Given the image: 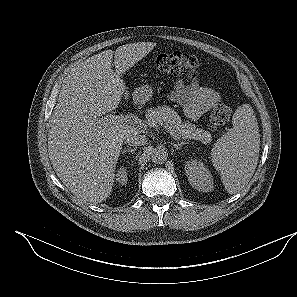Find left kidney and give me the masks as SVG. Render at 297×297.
I'll return each mask as SVG.
<instances>
[{"instance_id":"obj_1","label":"left kidney","mask_w":297,"mask_h":297,"mask_svg":"<svg viewBox=\"0 0 297 297\" xmlns=\"http://www.w3.org/2000/svg\"><path fill=\"white\" fill-rule=\"evenodd\" d=\"M185 173L192 187L201 192H211L214 188L212 175L203 162L194 159L187 161Z\"/></svg>"}]
</instances>
